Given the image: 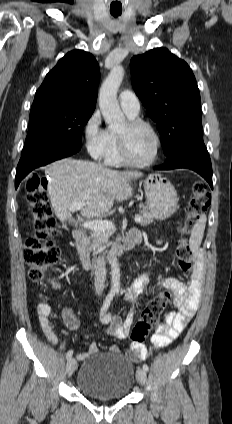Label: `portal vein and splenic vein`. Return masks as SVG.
<instances>
[{"mask_svg": "<svg viewBox=\"0 0 232 424\" xmlns=\"http://www.w3.org/2000/svg\"><path fill=\"white\" fill-rule=\"evenodd\" d=\"M85 206V202H75L72 205H70L69 210L70 211H77L80 210L82 207ZM134 221L136 223H139L141 221V217L140 216H135ZM83 227L84 228H88V229H92L95 231H99V230H113L114 226L112 224V222L107 221V220H90V221H85L83 223Z\"/></svg>", "mask_w": 232, "mask_h": 424, "instance_id": "obj_1", "label": "portal vein and splenic vein"}]
</instances>
